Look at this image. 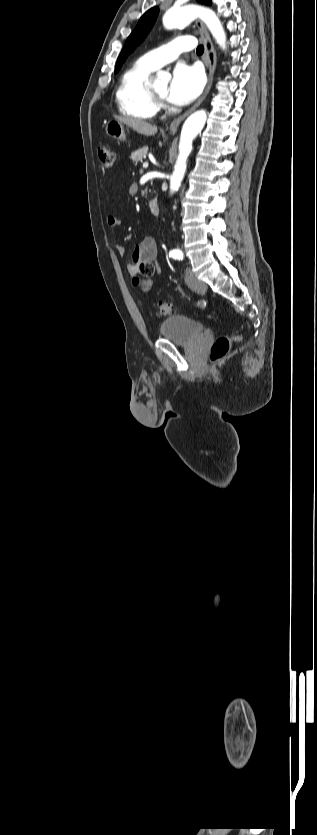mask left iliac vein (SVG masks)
<instances>
[{
  "mask_svg": "<svg viewBox=\"0 0 317 835\" xmlns=\"http://www.w3.org/2000/svg\"><path fill=\"white\" fill-rule=\"evenodd\" d=\"M185 281L191 290L198 293L204 292L207 288V285L203 281L198 280L197 277L189 270H187L185 274Z\"/></svg>",
  "mask_w": 317,
  "mask_h": 835,
  "instance_id": "4c4485c4",
  "label": "left iliac vein"
}]
</instances>
